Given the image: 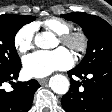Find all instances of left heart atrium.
I'll return each mask as SVG.
<instances>
[{
  "label": "left heart atrium",
  "mask_w": 112,
  "mask_h": 112,
  "mask_svg": "<svg viewBox=\"0 0 112 112\" xmlns=\"http://www.w3.org/2000/svg\"><path fill=\"white\" fill-rule=\"evenodd\" d=\"M73 63L70 52L65 48L54 51H37L23 58V70L29 77L42 78L57 70L69 68Z\"/></svg>",
  "instance_id": "1"
}]
</instances>
